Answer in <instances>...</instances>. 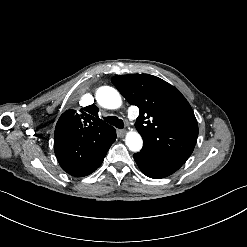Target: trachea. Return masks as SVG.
I'll use <instances>...</instances> for the list:
<instances>
[{"label":"trachea","mask_w":247,"mask_h":247,"mask_svg":"<svg viewBox=\"0 0 247 247\" xmlns=\"http://www.w3.org/2000/svg\"><path fill=\"white\" fill-rule=\"evenodd\" d=\"M105 121L119 129H122L124 125L123 121L115 116H108Z\"/></svg>","instance_id":"3493384b"}]
</instances>
